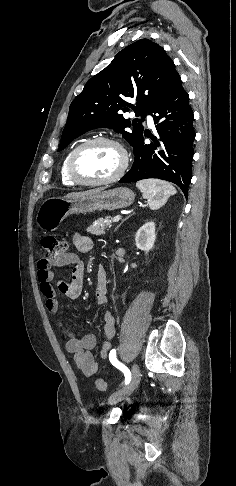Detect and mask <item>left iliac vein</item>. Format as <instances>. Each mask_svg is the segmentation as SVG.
<instances>
[{
	"label": "left iliac vein",
	"mask_w": 236,
	"mask_h": 486,
	"mask_svg": "<svg viewBox=\"0 0 236 486\" xmlns=\"http://www.w3.org/2000/svg\"><path fill=\"white\" fill-rule=\"evenodd\" d=\"M131 375V380L125 387L110 395L108 399L109 404H116L121 400L125 399L126 397L131 395L138 386L140 380V370L136 363L132 365Z\"/></svg>",
	"instance_id": "left-iliac-vein-1"
}]
</instances>
